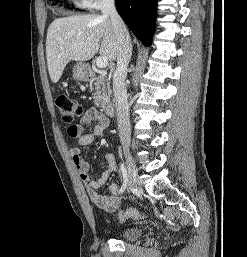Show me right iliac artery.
<instances>
[{"mask_svg":"<svg viewBox=\"0 0 247 257\" xmlns=\"http://www.w3.org/2000/svg\"><path fill=\"white\" fill-rule=\"evenodd\" d=\"M120 169H121L122 176H123V184L121 186L120 192H123L126 189L127 184H128V176H127V170H126L124 164L120 165Z\"/></svg>","mask_w":247,"mask_h":257,"instance_id":"obj_1","label":"right iliac artery"}]
</instances>
